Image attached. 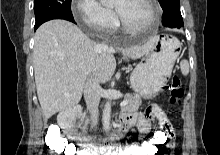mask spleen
<instances>
[{
	"label": "spleen",
	"mask_w": 220,
	"mask_h": 155,
	"mask_svg": "<svg viewBox=\"0 0 220 155\" xmlns=\"http://www.w3.org/2000/svg\"><path fill=\"white\" fill-rule=\"evenodd\" d=\"M180 69H181V73L184 76H187L189 74V63L187 60L184 59L180 62Z\"/></svg>",
	"instance_id": "spleen-1"
}]
</instances>
